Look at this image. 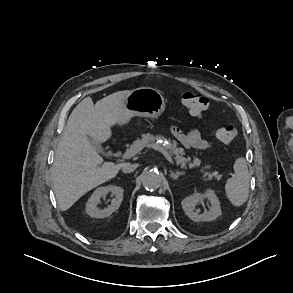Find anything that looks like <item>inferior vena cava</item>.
Masks as SVG:
<instances>
[{
  "instance_id": "602c4592",
  "label": "inferior vena cava",
  "mask_w": 293,
  "mask_h": 293,
  "mask_svg": "<svg viewBox=\"0 0 293 293\" xmlns=\"http://www.w3.org/2000/svg\"><path fill=\"white\" fill-rule=\"evenodd\" d=\"M138 167L137 163H124L122 166L123 173H131Z\"/></svg>"
}]
</instances>
